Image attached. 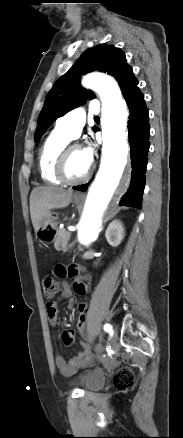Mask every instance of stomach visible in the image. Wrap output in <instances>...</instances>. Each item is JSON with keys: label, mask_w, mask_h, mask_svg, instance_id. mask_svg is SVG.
Instances as JSON below:
<instances>
[{"label": "stomach", "mask_w": 183, "mask_h": 438, "mask_svg": "<svg viewBox=\"0 0 183 438\" xmlns=\"http://www.w3.org/2000/svg\"><path fill=\"white\" fill-rule=\"evenodd\" d=\"M73 202L78 204L81 198L77 195L73 196ZM58 214L55 212H48L46 216L38 223L36 227V236L42 243H51L56 239Z\"/></svg>", "instance_id": "1"}]
</instances>
